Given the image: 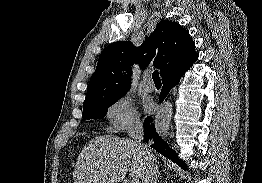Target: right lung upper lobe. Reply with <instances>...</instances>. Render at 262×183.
<instances>
[{
    "mask_svg": "<svg viewBox=\"0 0 262 183\" xmlns=\"http://www.w3.org/2000/svg\"><path fill=\"white\" fill-rule=\"evenodd\" d=\"M197 59L189 31L179 23L162 20L141 46L135 47L131 41H119L101 52L84 103L127 92L134 63L144 69L154 61L163 79L190 68Z\"/></svg>",
    "mask_w": 262,
    "mask_h": 183,
    "instance_id": "right-lung-upper-lobe-1",
    "label": "right lung upper lobe"
}]
</instances>
